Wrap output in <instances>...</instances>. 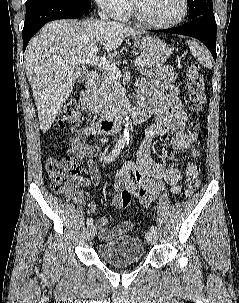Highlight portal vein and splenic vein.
<instances>
[{"label":"portal vein and splenic vein","instance_id":"portal-vein-and-splenic-vein-1","mask_svg":"<svg viewBox=\"0 0 239 303\" xmlns=\"http://www.w3.org/2000/svg\"><path fill=\"white\" fill-rule=\"evenodd\" d=\"M97 50H98L97 47H93L91 49V52H90L89 56L78 58L74 61L78 64H89V65L98 66V67L103 68L104 70H106L113 77L120 78L121 77V71L118 69V67L114 63H111L110 61L106 60L105 58L97 57L96 56ZM134 65L136 67H142V68L146 66L145 63L143 61H140V60H136L134 62Z\"/></svg>","mask_w":239,"mask_h":303}]
</instances>
